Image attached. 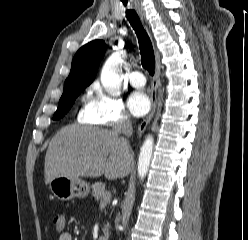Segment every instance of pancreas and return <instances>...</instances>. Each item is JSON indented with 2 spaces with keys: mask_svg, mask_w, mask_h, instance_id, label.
I'll return each instance as SVG.
<instances>
[{
  "mask_svg": "<svg viewBox=\"0 0 248 240\" xmlns=\"http://www.w3.org/2000/svg\"><path fill=\"white\" fill-rule=\"evenodd\" d=\"M92 196L99 201L100 204L103 203L106 205L110 201L111 195H108V192L105 190V184L103 183H94L92 185ZM104 234L108 235V226L103 229Z\"/></svg>",
  "mask_w": 248,
  "mask_h": 240,
  "instance_id": "1",
  "label": "pancreas"
}]
</instances>
